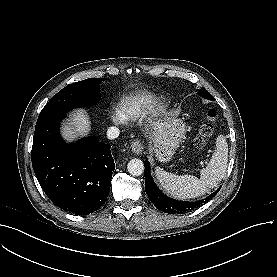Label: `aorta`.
Masks as SVG:
<instances>
[{
	"mask_svg": "<svg viewBox=\"0 0 277 277\" xmlns=\"http://www.w3.org/2000/svg\"><path fill=\"white\" fill-rule=\"evenodd\" d=\"M128 172L133 176H140L144 173V163L138 158H133L128 162Z\"/></svg>",
	"mask_w": 277,
	"mask_h": 277,
	"instance_id": "762f6f07",
	"label": "aorta"
}]
</instances>
